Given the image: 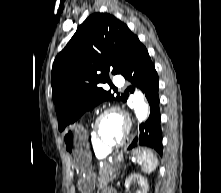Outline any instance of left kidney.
<instances>
[{"instance_id": "left-kidney-1", "label": "left kidney", "mask_w": 221, "mask_h": 193, "mask_svg": "<svg viewBox=\"0 0 221 193\" xmlns=\"http://www.w3.org/2000/svg\"><path fill=\"white\" fill-rule=\"evenodd\" d=\"M132 184H138L139 189L136 193H147L149 185L147 180L140 174H131L125 181V188L129 190Z\"/></svg>"}]
</instances>
